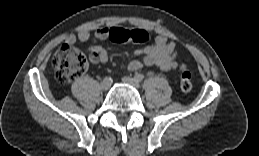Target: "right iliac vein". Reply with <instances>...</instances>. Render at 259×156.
<instances>
[{"label": "right iliac vein", "mask_w": 259, "mask_h": 156, "mask_svg": "<svg viewBox=\"0 0 259 156\" xmlns=\"http://www.w3.org/2000/svg\"><path fill=\"white\" fill-rule=\"evenodd\" d=\"M111 86V82L110 81H107V80H103L101 83H100V88L101 90L103 91H106L110 88Z\"/></svg>", "instance_id": "1"}]
</instances>
